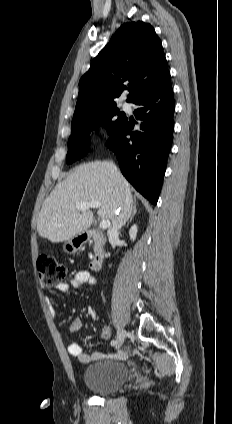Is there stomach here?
<instances>
[{
  "mask_svg": "<svg viewBox=\"0 0 232 424\" xmlns=\"http://www.w3.org/2000/svg\"><path fill=\"white\" fill-rule=\"evenodd\" d=\"M81 236L82 235L79 234L66 241L63 245L64 252L67 254H75L85 242V239L81 238Z\"/></svg>",
  "mask_w": 232,
  "mask_h": 424,
  "instance_id": "1",
  "label": "stomach"
}]
</instances>
